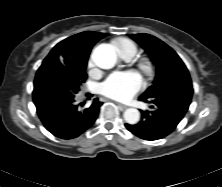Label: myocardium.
<instances>
[{"instance_id": "obj_1", "label": "myocardium", "mask_w": 222, "mask_h": 187, "mask_svg": "<svg viewBox=\"0 0 222 187\" xmlns=\"http://www.w3.org/2000/svg\"><path fill=\"white\" fill-rule=\"evenodd\" d=\"M142 67H143L145 70H147V69H148V66H147V64H146V63H142Z\"/></svg>"}]
</instances>
